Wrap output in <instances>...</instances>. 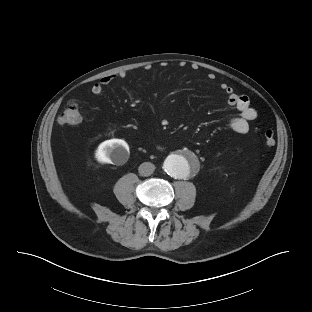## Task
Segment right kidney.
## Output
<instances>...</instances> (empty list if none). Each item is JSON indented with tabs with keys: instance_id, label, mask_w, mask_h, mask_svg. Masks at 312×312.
Segmentation results:
<instances>
[{
	"instance_id": "obj_1",
	"label": "right kidney",
	"mask_w": 312,
	"mask_h": 312,
	"mask_svg": "<svg viewBox=\"0 0 312 312\" xmlns=\"http://www.w3.org/2000/svg\"><path fill=\"white\" fill-rule=\"evenodd\" d=\"M95 158L102 164H123L129 158V146L122 139L106 140L98 146Z\"/></svg>"
}]
</instances>
